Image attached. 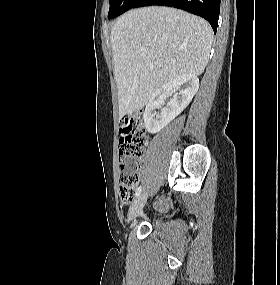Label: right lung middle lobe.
<instances>
[{
  "label": "right lung middle lobe",
  "instance_id": "right-lung-middle-lobe-1",
  "mask_svg": "<svg viewBox=\"0 0 280 285\" xmlns=\"http://www.w3.org/2000/svg\"><path fill=\"white\" fill-rule=\"evenodd\" d=\"M137 0H109L110 9L108 19L117 17L131 9Z\"/></svg>",
  "mask_w": 280,
  "mask_h": 285
}]
</instances>
